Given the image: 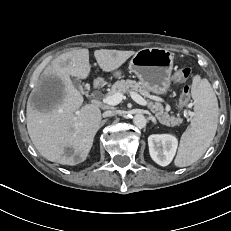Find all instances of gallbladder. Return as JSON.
<instances>
[{"instance_id": "bac80fb5", "label": "gallbladder", "mask_w": 231, "mask_h": 231, "mask_svg": "<svg viewBox=\"0 0 231 231\" xmlns=\"http://www.w3.org/2000/svg\"><path fill=\"white\" fill-rule=\"evenodd\" d=\"M77 83H78V87H79V89H81L82 90V86L80 85V83L77 81Z\"/></svg>"}]
</instances>
